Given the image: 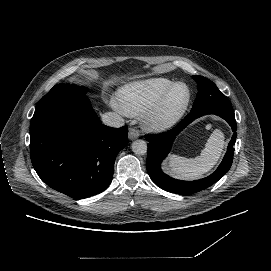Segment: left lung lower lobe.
<instances>
[{
	"instance_id": "obj_1",
	"label": "left lung lower lobe",
	"mask_w": 271,
	"mask_h": 271,
	"mask_svg": "<svg viewBox=\"0 0 271 271\" xmlns=\"http://www.w3.org/2000/svg\"><path fill=\"white\" fill-rule=\"evenodd\" d=\"M206 114H215L222 117L229 123L232 131L234 132L224 159L217 168V170L206 178L189 182L173 179L168 175L164 174L160 168V164L169 153L175 137L194 119ZM236 130L237 126L234 111L227 112L220 110H200L190 112L177 126H175L172 130L168 132L154 135H146L145 138L149 142L146 160V167L149 176L151 177L153 182L163 190L181 195H191L210 187L220 178H222L223 175L228 172L232 165L234 155L233 145L236 142L237 136Z\"/></svg>"
}]
</instances>
